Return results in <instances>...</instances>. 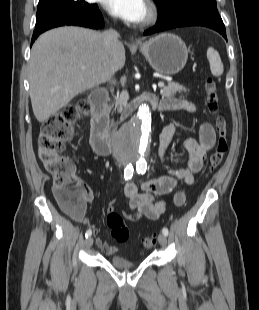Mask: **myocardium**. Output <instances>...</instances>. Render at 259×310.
<instances>
[{
    "label": "myocardium",
    "mask_w": 259,
    "mask_h": 310,
    "mask_svg": "<svg viewBox=\"0 0 259 310\" xmlns=\"http://www.w3.org/2000/svg\"><path fill=\"white\" fill-rule=\"evenodd\" d=\"M146 7L147 15L139 24L142 28L154 25L159 18V8L153 1H148Z\"/></svg>",
    "instance_id": "1"
}]
</instances>
